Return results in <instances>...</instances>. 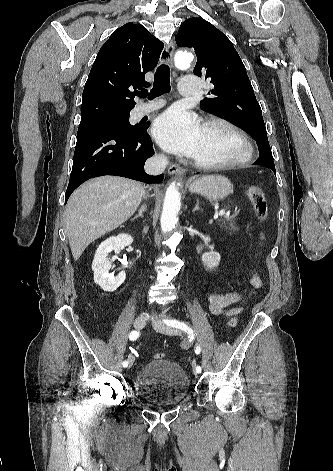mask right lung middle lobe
Returning a JSON list of instances; mask_svg holds the SVG:
<instances>
[{"label":"right lung middle lobe","mask_w":333,"mask_h":471,"mask_svg":"<svg viewBox=\"0 0 333 471\" xmlns=\"http://www.w3.org/2000/svg\"><path fill=\"white\" fill-rule=\"evenodd\" d=\"M129 115H130V111L112 113V114L104 115L97 118L81 120L79 126H86V125L99 124V123H112V124H118L125 127H132V128L136 127L137 125L132 126L129 123Z\"/></svg>","instance_id":"dd1d6c3e"}]
</instances>
